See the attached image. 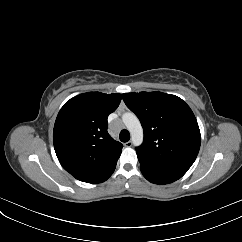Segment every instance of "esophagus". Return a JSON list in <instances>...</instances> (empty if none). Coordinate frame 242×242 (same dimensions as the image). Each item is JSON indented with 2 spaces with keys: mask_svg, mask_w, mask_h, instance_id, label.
I'll return each instance as SVG.
<instances>
[{
  "mask_svg": "<svg viewBox=\"0 0 242 242\" xmlns=\"http://www.w3.org/2000/svg\"><path fill=\"white\" fill-rule=\"evenodd\" d=\"M124 146L125 147H131L132 146V142L131 141L125 142Z\"/></svg>",
  "mask_w": 242,
  "mask_h": 242,
  "instance_id": "1",
  "label": "esophagus"
}]
</instances>
